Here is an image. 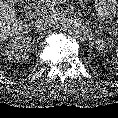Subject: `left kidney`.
I'll list each match as a JSON object with an SVG mask.
<instances>
[{
  "label": "left kidney",
  "instance_id": "1",
  "mask_svg": "<svg viewBox=\"0 0 118 118\" xmlns=\"http://www.w3.org/2000/svg\"><path fill=\"white\" fill-rule=\"evenodd\" d=\"M96 46H97L99 53L105 54L108 51L105 42L101 39H98L96 41Z\"/></svg>",
  "mask_w": 118,
  "mask_h": 118
}]
</instances>
